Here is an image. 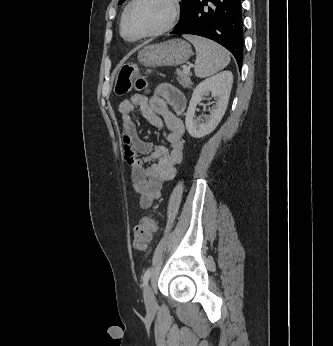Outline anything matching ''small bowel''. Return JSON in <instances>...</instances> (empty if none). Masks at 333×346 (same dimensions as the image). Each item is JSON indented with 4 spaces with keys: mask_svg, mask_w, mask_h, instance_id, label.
Masks as SVG:
<instances>
[{
    "mask_svg": "<svg viewBox=\"0 0 333 346\" xmlns=\"http://www.w3.org/2000/svg\"><path fill=\"white\" fill-rule=\"evenodd\" d=\"M135 108H139L152 125L168 130L165 134L167 147L140 137L132 116ZM185 108V96L170 83L158 85L150 98L136 93L119 104L125 159L131 168V184L139 195L141 209H148L159 199L164 182L173 179L176 166L182 161L184 124L179 116Z\"/></svg>",
    "mask_w": 333,
    "mask_h": 346,
    "instance_id": "small-bowel-1",
    "label": "small bowel"
}]
</instances>
